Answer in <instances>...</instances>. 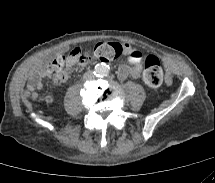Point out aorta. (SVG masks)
Segmentation results:
<instances>
[{
    "instance_id": "1",
    "label": "aorta",
    "mask_w": 215,
    "mask_h": 183,
    "mask_svg": "<svg viewBox=\"0 0 215 183\" xmlns=\"http://www.w3.org/2000/svg\"><path fill=\"white\" fill-rule=\"evenodd\" d=\"M110 72V68L105 63H100L95 66L94 73L96 76L104 77L107 76Z\"/></svg>"
}]
</instances>
